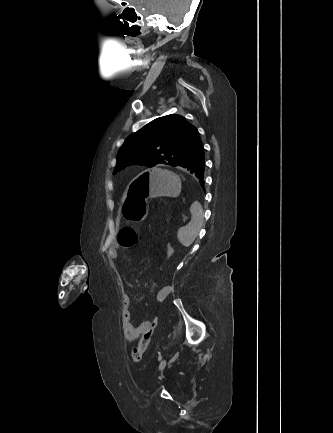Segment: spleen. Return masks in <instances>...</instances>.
<instances>
[{
    "mask_svg": "<svg viewBox=\"0 0 333 433\" xmlns=\"http://www.w3.org/2000/svg\"><path fill=\"white\" fill-rule=\"evenodd\" d=\"M190 211L192 213L191 221L186 226L181 227L177 234L180 243L186 247L194 242L203 223V212L198 202L192 204Z\"/></svg>",
    "mask_w": 333,
    "mask_h": 433,
    "instance_id": "1",
    "label": "spleen"
}]
</instances>
